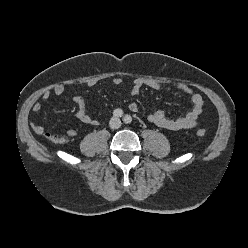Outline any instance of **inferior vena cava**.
Instances as JSON below:
<instances>
[{
    "mask_svg": "<svg viewBox=\"0 0 248 248\" xmlns=\"http://www.w3.org/2000/svg\"><path fill=\"white\" fill-rule=\"evenodd\" d=\"M121 126V121L118 118L114 119V123L111 124L112 129H117Z\"/></svg>",
    "mask_w": 248,
    "mask_h": 248,
    "instance_id": "1",
    "label": "inferior vena cava"
}]
</instances>
